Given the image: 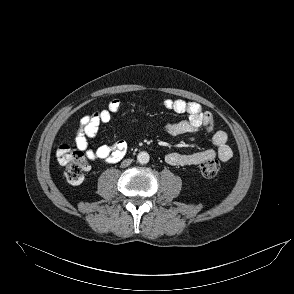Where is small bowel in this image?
Instances as JSON below:
<instances>
[{
    "label": "small bowel",
    "instance_id": "small-bowel-1",
    "mask_svg": "<svg viewBox=\"0 0 294 294\" xmlns=\"http://www.w3.org/2000/svg\"><path fill=\"white\" fill-rule=\"evenodd\" d=\"M163 106L167 110L179 114H187V118L177 122L164 124L163 130L172 136L196 133L202 129L212 134L215 149H206L199 152L183 154L171 152L166 155V162L172 166L199 165L207 158L218 157L226 162L232 157V150L227 145V134L222 130H214V119L210 112L204 111L200 104L188 102L182 99L166 98ZM121 108L117 99L109 102L107 108L96 111L82 117L80 127L76 134L75 142L77 148L82 151L90 161L102 160L106 164H114L123 159L127 151V143L123 140L117 141L113 146L102 145L96 149L91 148L89 139L97 135L102 124L110 122L112 116Z\"/></svg>",
    "mask_w": 294,
    "mask_h": 294
}]
</instances>
